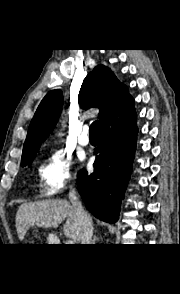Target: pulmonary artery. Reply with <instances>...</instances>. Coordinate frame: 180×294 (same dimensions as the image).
Returning a JSON list of instances; mask_svg holds the SVG:
<instances>
[{
  "label": "pulmonary artery",
  "instance_id": "pulmonary-artery-1",
  "mask_svg": "<svg viewBox=\"0 0 180 294\" xmlns=\"http://www.w3.org/2000/svg\"><path fill=\"white\" fill-rule=\"evenodd\" d=\"M89 126H84L82 134L78 137V142L80 145L87 146L90 143V138L88 136Z\"/></svg>",
  "mask_w": 180,
  "mask_h": 294
}]
</instances>
